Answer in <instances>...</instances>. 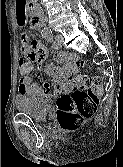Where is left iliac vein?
Returning <instances> with one entry per match:
<instances>
[{"label": "left iliac vein", "mask_w": 123, "mask_h": 167, "mask_svg": "<svg viewBox=\"0 0 123 167\" xmlns=\"http://www.w3.org/2000/svg\"><path fill=\"white\" fill-rule=\"evenodd\" d=\"M62 42H63V36L60 34H57L55 37V49H59L62 46Z\"/></svg>", "instance_id": "1"}]
</instances>
